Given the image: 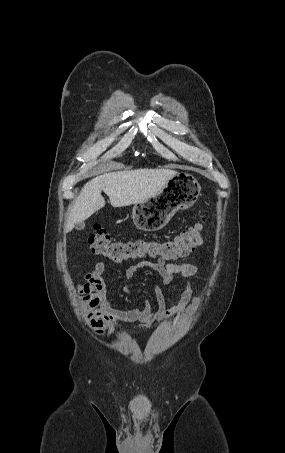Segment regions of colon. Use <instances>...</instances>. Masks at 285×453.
<instances>
[{
	"instance_id": "colon-1",
	"label": "colon",
	"mask_w": 285,
	"mask_h": 453,
	"mask_svg": "<svg viewBox=\"0 0 285 453\" xmlns=\"http://www.w3.org/2000/svg\"><path fill=\"white\" fill-rule=\"evenodd\" d=\"M204 224L205 219L166 240L138 238L128 241L111 240L106 230L97 225L88 241L95 255L114 262L141 258L169 261L188 256L203 243Z\"/></svg>"
}]
</instances>
